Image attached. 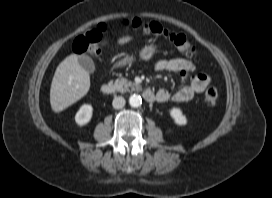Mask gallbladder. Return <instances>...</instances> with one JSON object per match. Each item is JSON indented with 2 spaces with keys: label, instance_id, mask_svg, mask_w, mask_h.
I'll return each mask as SVG.
<instances>
[{
  "label": "gallbladder",
  "instance_id": "bac80fb5",
  "mask_svg": "<svg viewBox=\"0 0 272 198\" xmlns=\"http://www.w3.org/2000/svg\"><path fill=\"white\" fill-rule=\"evenodd\" d=\"M79 64L88 72L93 73L95 71V63L88 55H81L79 57Z\"/></svg>",
  "mask_w": 272,
  "mask_h": 198
}]
</instances>
